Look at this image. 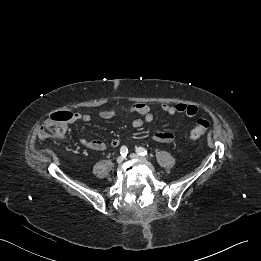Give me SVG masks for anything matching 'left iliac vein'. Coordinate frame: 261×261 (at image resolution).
I'll use <instances>...</instances> for the list:
<instances>
[{
	"label": "left iliac vein",
	"mask_w": 261,
	"mask_h": 261,
	"mask_svg": "<svg viewBox=\"0 0 261 261\" xmlns=\"http://www.w3.org/2000/svg\"><path fill=\"white\" fill-rule=\"evenodd\" d=\"M130 157L132 159H138V160H142V161H147V159L145 157H142V156H140L138 154H134V153L130 154Z\"/></svg>",
	"instance_id": "4c4485c4"
}]
</instances>
